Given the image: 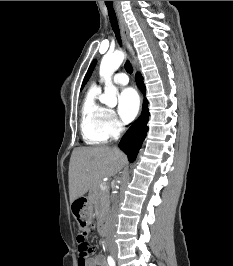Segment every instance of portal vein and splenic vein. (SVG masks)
I'll return each mask as SVG.
<instances>
[{"label": "portal vein and splenic vein", "mask_w": 233, "mask_h": 266, "mask_svg": "<svg viewBox=\"0 0 233 266\" xmlns=\"http://www.w3.org/2000/svg\"><path fill=\"white\" fill-rule=\"evenodd\" d=\"M100 189H101V190H105V189H107V185H106V183L101 184V185H100Z\"/></svg>", "instance_id": "portal-vein-and-splenic-vein-1"}]
</instances>
